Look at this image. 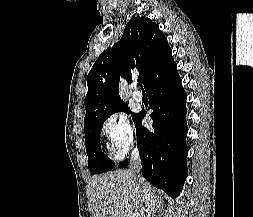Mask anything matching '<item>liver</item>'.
Returning a JSON list of instances; mask_svg holds the SVG:
<instances>
[{
    "label": "liver",
    "instance_id": "1",
    "mask_svg": "<svg viewBox=\"0 0 253 217\" xmlns=\"http://www.w3.org/2000/svg\"><path fill=\"white\" fill-rule=\"evenodd\" d=\"M91 187L93 217L151 216L160 210L157 190L144 178L134 177L129 170L95 176Z\"/></svg>",
    "mask_w": 253,
    "mask_h": 217
}]
</instances>
